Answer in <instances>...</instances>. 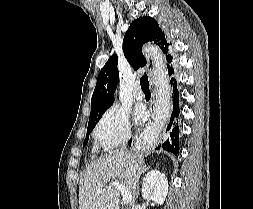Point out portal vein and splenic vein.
I'll use <instances>...</instances> for the list:
<instances>
[{
    "instance_id": "1",
    "label": "portal vein and splenic vein",
    "mask_w": 253,
    "mask_h": 209,
    "mask_svg": "<svg viewBox=\"0 0 253 209\" xmlns=\"http://www.w3.org/2000/svg\"><path fill=\"white\" fill-rule=\"evenodd\" d=\"M110 185H111V187L116 188L121 193L122 202H123L124 205L129 204L131 202L132 194L128 190H126L124 185H122L118 182H112ZM103 191H104V189H98L97 190L98 193H101Z\"/></svg>"
}]
</instances>
